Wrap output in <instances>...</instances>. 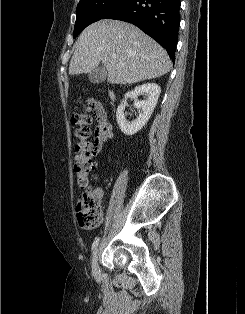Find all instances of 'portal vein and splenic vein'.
Instances as JSON below:
<instances>
[{"label":"portal vein and splenic vein","mask_w":245,"mask_h":314,"mask_svg":"<svg viewBox=\"0 0 245 314\" xmlns=\"http://www.w3.org/2000/svg\"><path fill=\"white\" fill-rule=\"evenodd\" d=\"M112 57L115 58V57H116V54H113Z\"/></svg>","instance_id":"obj_1"}]
</instances>
